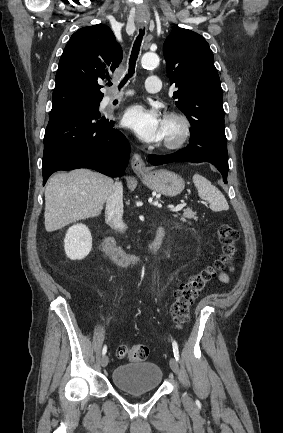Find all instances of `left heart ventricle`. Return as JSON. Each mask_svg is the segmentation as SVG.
<instances>
[{
    "label": "left heart ventricle",
    "mask_w": 283,
    "mask_h": 433,
    "mask_svg": "<svg viewBox=\"0 0 283 433\" xmlns=\"http://www.w3.org/2000/svg\"><path fill=\"white\" fill-rule=\"evenodd\" d=\"M165 139H175L181 132V124L174 119H164Z\"/></svg>",
    "instance_id": "b2bd125f"
}]
</instances>
